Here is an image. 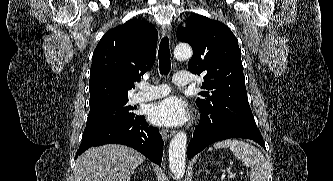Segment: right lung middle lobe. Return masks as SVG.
I'll return each mask as SVG.
<instances>
[{"label":"right lung middle lobe","mask_w":333,"mask_h":181,"mask_svg":"<svg viewBox=\"0 0 333 181\" xmlns=\"http://www.w3.org/2000/svg\"><path fill=\"white\" fill-rule=\"evenodd\" d=\"M128 99L112 102L90 109L84 132L99 129L119 121L130 119L136 114L128 106Z\"/></svg>","instance_id":"right-lung-middle-lobe-1"}]
</instances>
